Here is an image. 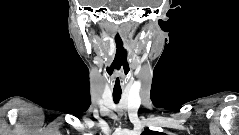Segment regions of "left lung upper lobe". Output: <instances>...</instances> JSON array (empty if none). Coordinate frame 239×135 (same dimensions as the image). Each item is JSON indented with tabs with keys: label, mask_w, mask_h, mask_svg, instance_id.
I'll use <instances>...</instances> for the list:
<instances>
[{
	"label": "left lung upper lobe",
	"mask_w": 239,
	"mask_h": 135,
	"mask_svg": "<svg viewBox=\"0 0 239 135\" xmlns=\"http://www.w3.org/2000/svg\"><path fill=\"white\" fill-rule=\"evenodd\" d=\"M142 135H165V134L161 132L146 130L142 133Z\"/></svg>",
	"instance_id": "5c2ea615"
}]
</instances>
